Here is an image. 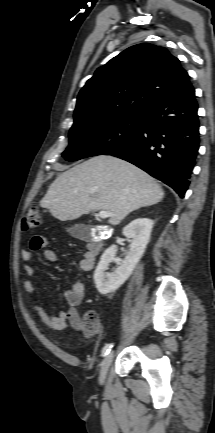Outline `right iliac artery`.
Segmentation results:
<instances>
[{
  "mask_svg": "<svg viewBox=\"0 0 215 433\" xmlns=\"http://www.w3.org/2000/svg\"><path fill=\"white\" fill-rule=\"evenodd\" d=\"M112 347H113V343L106 344L102 349V355L106 356L110 352Z\"/></svg>",
  "mask_w": 215,
  "mask_h": 433,
  "instance_id": "obj_1",
  "label": "right iliac artery"
}]
</instances>
